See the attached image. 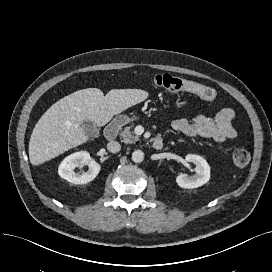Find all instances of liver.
Returning a JSON list of instances; mask_svg holds the SVG:
<instances>
[{
	"instance_id": "1",
	"label": "liver",
	"mask_w": 272,
	"mask_h": 272,
	"mask_svg": "<svg viewBox=\"0 0 272 272\" xmlns=\"http://www.w3.org/2000/svg\"><path fill=\"white\" fill-rule=\"evenodd\" d=\"M149 96L141 89H112L105 96L100 89L78 90L54 103L39 119L29 142V159L40 165L88 141L81 127L88 119L101 127L114 115Z\"/></svg>"
}]
</instances>
